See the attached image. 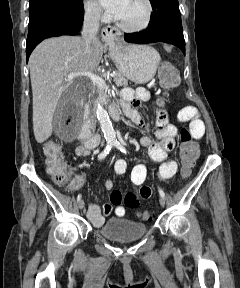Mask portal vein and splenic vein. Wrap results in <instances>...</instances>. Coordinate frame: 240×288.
<instances>
[{
	"mask_svg": "<svg viewBox=\"0 0 240 288\" xmlns=\"http://www.w3.org/2000/svg\"><path fill=\"white\" fill-rule=\"evenodd\" d=\"M78 76H84V77H88L91 81H93L94 83L98 84L100 87H103L105 89H107L108 87H106V83L104 81V79L92 72H77V73H70L66 76V80L67 81H71L73 80L75 77Z\"/></svg>",
	"mask_w": 240,
	"mask_h": 288,
	"instance_id": "18ae733b",
	"label": "portal vein and splenic vein"
}]
</instances>
